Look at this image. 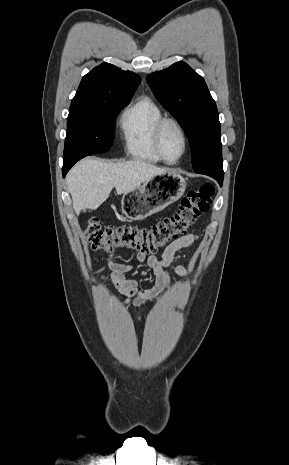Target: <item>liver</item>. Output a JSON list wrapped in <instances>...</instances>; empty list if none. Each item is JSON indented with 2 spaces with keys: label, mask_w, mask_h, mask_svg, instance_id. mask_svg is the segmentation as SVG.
I'll list each match as a JSON object with an SVG mask.
<instances>
[{
  "label": "liver",
  "mask_w": 289,
  "mask_h": 465,
  "mask_svg": "<svg viewBox=\"0 0 289 465\" xmlns=\"http://www.w3.org/2000/svg\"><path fill=\"white\" fill-rule=\"evenodd\" d=\"M168 172L142 160L111 163L85 158L67 174L66 183L77 215L82 209L96 210L115 187L117 194L128 193L152 177Z\"/></svg>",
  "instance_id": "6515ba94"
}]
</instances>
